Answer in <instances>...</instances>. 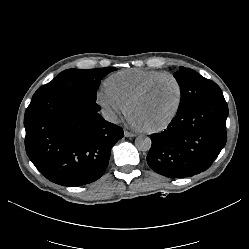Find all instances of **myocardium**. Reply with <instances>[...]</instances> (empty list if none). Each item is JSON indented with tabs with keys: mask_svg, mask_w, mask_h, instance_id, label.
Listing matches in <instances>:
<instances>
[{
	"mask_svg": "<svg viewBox=\"0 0 249 249\" xmlns=\"http://www.w3.org/2000/svg\"><path fill=\"white\" fill-rule=\"evenodd\" d=\"M162 78H170L175 82L178 89V102L173 113L165 121L155 127L144 129L145 132L150 134L164 131L174 122V120L179 115L184 99V90L180 80L172 73H161L159 75H156L145 82L128 103V108L131 110L132 106L148 92L152 85Z\"/></svg>",
	"mask_w": 249,
	"mask_h": 249,
	"instance_id": "1",
	"label": "myocardium"
}]
</instances>
